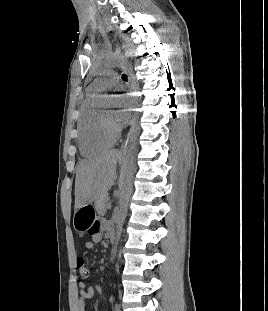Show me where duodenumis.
I'll use <instances>...</instances> for the list:
<instances>
[{"instance_id": "obj_1", "label": "duodenum", "mask_w": 268, "mask_h": 311, "mask_svg": "<svg viewBox=\"0 0 268 311\" xmlns=\"http://www.w3.org/2000/svg\"><path fill=\"white\" fill-rule=\"evenodd\" d=\"M110 240H111V241H114V240H115V231H114V229H111V230H110Z\"/></svg>"}]
</instances>
